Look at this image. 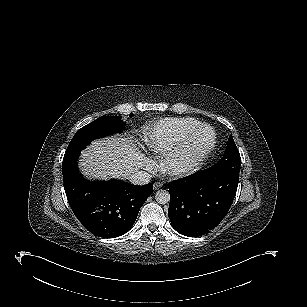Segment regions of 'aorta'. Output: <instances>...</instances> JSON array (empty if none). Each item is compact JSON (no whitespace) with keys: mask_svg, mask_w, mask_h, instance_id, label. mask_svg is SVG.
<instances>
[{"mask_svg":"<svg viewBox=\"0 0 307 307\" xmlns=\"http://www.w3.org/2000/svg\"><path fill=\"white\" fill-rule=\"evenodd\" d=\"M155 199L159 204H167L170 201V193L167 190H158L155 194Z\"/></svg>","mask_w":307,"mask_h":307,"instance_id":"1","label":"aorta"}]
</instances>
